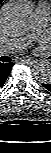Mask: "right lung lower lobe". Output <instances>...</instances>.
<instances>
[{
  "label": "right lung lower lobe",
  "mask_w": 51,
  "mask_h": 153,
  "mask_svg": "<svg viewBox=\"0 0 51 153\" xmlns=\"http://www.w3.org/2000/svg\"><path fill=\"white\" fill-rule=\"evenodd\" d=\"M13 63H0V87L3 86L5 83V80L7 79L11 69H12Z\"/></svg>",
  "instance_id": "right-lung-lower-lobe-1"
}]
</instances>
